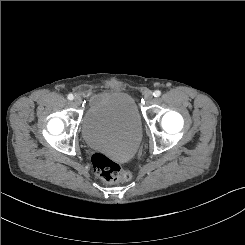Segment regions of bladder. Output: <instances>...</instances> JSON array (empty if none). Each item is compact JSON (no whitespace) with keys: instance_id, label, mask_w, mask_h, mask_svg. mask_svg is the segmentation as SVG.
<instances>
[{"instance_id":"obj_1","label":"bladder","mask_w":245,"mask_h":245,"mask_svg":"<svg viewBox=\"0 0 245 245\" xmlns=\"http://www.w3.org/2000/svg\"><path fill=\"white\" fill-rule=\"evenodd\" d=\"M81 135L93 149L119 158L134 154L142 139V124L133 98L122 91L100 94L82 118Z\"/></svg>"}]
</instances>
